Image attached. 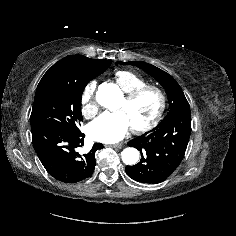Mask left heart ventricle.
<instances>
[{
    "mask_svg": "<svg viewBox=\"0 0 236 236\" xmlns=\"http://www.w3.org/2000/svg\"><path fill=\"white\" fill-rule=\"evenodd\" d=\"M158 106V96L154 92H147L131 103L123 99L117 110L125 112L133 127L149 122L155 116Z\"/></svg>",
    "mask_w": 236,
    "mask_h": 236,
    "instance_id": "b2bd125f",
    "label": "left heart ventricle"
}]
</instances>
